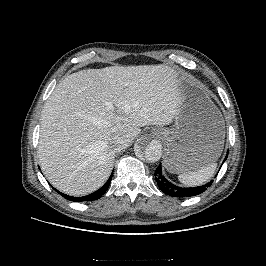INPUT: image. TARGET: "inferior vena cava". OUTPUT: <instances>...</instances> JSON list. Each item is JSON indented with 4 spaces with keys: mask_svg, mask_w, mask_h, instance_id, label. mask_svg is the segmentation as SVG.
Here are the masks:
<instances>
[{
    "mask_svg": "<svg viewBox=\"0 0 266 266\" xmlns=\"http://www.w3.org/2000/svg\"><path fill=\"white\" fill-rule=\"evenodd\" d=\"M127 144V139L124 136H119L116 135L112 138V140L110 141L109 145L110 148L114 151V152H119L122 149L125 148Z\"/></svg>",
    "mask_w": 266,
    "mask_h": 266,
    "instance_id": "obj_1",
    "label": "inferior vena cava"
}]
</instances>
